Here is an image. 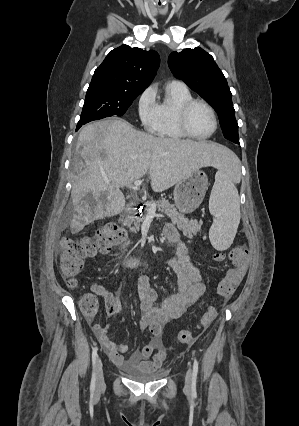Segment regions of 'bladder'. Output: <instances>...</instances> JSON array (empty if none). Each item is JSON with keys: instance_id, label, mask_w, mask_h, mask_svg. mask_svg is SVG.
<instances>
[{"instance_id": "obj_1", "label": "bladder", "mask_w": 299, "mask_h": 426, "mask_svg": "<svg viewBox=\"0 0 299 426\" xmlns=\"http://www.w3.org/2000/svg\"><path fill=\"white\" fill-rule=\"evenodd\" d=\"M124 373L134 381L138 382H154L162 379L166 374V370L161 367L157 368H127Z\"/></svg>"}]
</instances>
